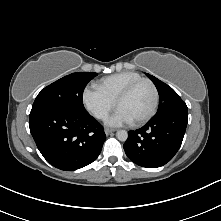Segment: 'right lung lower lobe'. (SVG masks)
<instances>
[{
  "instance_id": "right-lung-lower-lobe-1",
  "label": "right lung lower lobe",
  "mask_w": 221,
  "mask_h": 221,
  "mask_svg": "<svg viewBox=\"0 0 221 221\" xmlns=\"http://www.w3.org/2000/svg\"><path fill=\"white\" fill-rule=\"evenodd\" d=\"M29 128L43 157L64 171L92 163L106 139L102 125L86 110H42L30 115Z\"/></svg>"
}]
</instances>
